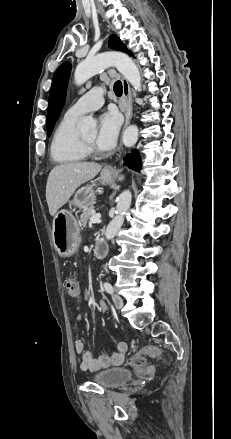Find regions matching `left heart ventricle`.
Instances as JSON below:
<instances>
[{"instance_id":"1","label":"left heart ventricle","mask_w":231,"mask_h":439,"mask_svg":"<svg viewBox=\"0 0 231 439\" xmlns=\"http://www.w3.org/2000/svg\"><path fill=\"white\" fill-rule=\"evenodd\" d=\"M83 139H84L85 141H87V142L93 144L94 141H95V135H94V134H92V135H87V136H84Z\"/></svg>"}]
</instances>
